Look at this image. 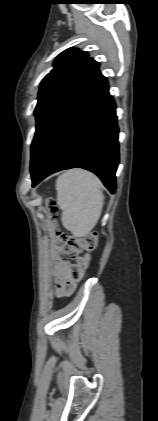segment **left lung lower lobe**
<instances>
[{"instance_id":"obj_1","label":"left lung lower lobe","mask_w":158,"mask_h":421,"mask_svg":"<svg viewBox=\"0 0 158 421\" xmlns=\"http://www.w3.org/2000/svg\"><path fill=\"white\" fill-rule=\"evenodd\" d=\"M115 102L98 71L51 121L31 160L32 186L60 170L74 167L95 173L115 192L119 164Z\"/></svg>"}]
</instances>
